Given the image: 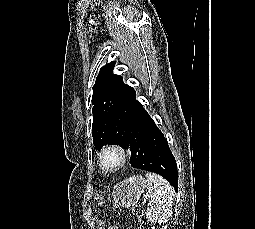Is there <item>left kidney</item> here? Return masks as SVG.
Returning a JSON list of instances; mask_svg holds the SVG:
<instances>
[{"label": "left kidney", "mask_w": 255, "mask_h": 229, "mask_svg": "<svg viewBox=\"0 0 255 229\" xmlns=\"http://www.w3.org/2000/svg\"><path fill=\"white\" fill-rule=\"evenodd\" d=\"M162 229H167V226L163 227Z\"/></svg>", "instance_id": "obj_1"}]
</instances>
